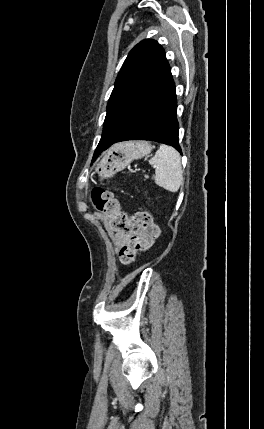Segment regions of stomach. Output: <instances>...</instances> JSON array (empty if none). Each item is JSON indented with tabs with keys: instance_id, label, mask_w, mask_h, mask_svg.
Instances as JSON below:
<instances>
[{
	"instance_id": "stomach-1",
	"label": "stomach",
	"mask_w": 264,
	"mask_h": 429,
	"mask_svg": "<svg viewBox=\"0 0 264 429\" xmlns=\"http://www.w3.org/2000/svg\"><path fill=\"white\" fill-rule=\"evenodd\" d=\"M153 146L147 141H128L115 144L101 158L96 172L101 178H109L123 170L131 161L147 156Z\"/></svg>"
}]
</instances>
